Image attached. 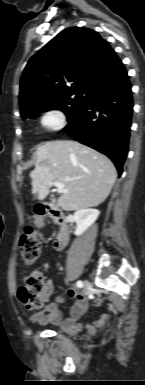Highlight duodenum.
Here are the masks:
<instances>
[{
  "label": "duodenum",
  "mask_w": 145,
  "mask_h": 385,
  "mask_svg": "<svg viewBox=\"0 0 145 385\" xmlns=\"http://www.w3.org/2000/svg\"><path fill=\"white\" fill-rule=\"evenodd\" d=\"M35 212L38 216H48L60 225L61 230L54 241V247L58 250L62 249L67 244L68 240V228L65 214L58 207L46 202L40 203Z\"/></svg>",
  "instance_id": "410a0bca"
}]
</instances>
